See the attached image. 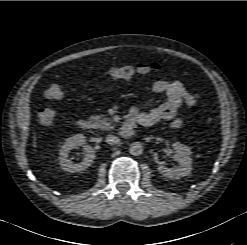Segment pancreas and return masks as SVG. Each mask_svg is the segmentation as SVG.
<instances>
[{
    "mask_svg": "<svg viewBox=\"0 0 247 245\" xmlns=\"http://www.w3.org/2000/svg\"><path fill=\"white\" fill-rule=\"evenodd\" d=\"M90 119L93 121L94 128L101 130H112L115 127L110 118L103 114L91 116Z\"/></svg>",
    "mask_w": 247,
    "mask_h": 245,
    "instance_id": "obj_1",
    "label": "pancreas"
}]
</instances>
